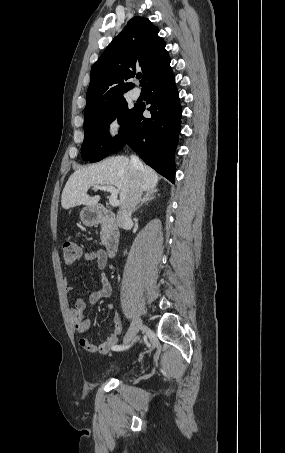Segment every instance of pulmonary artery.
<instances>
[{
  "instance_id": "obj_1",
  "label": "pulmonary artery",
  "mask_w": 285,
  "mask_h": 453,
  "mask_svg": "<svg viewBox=\"0 0 285 453\" xmlns=\"http://www.w3.org/2000/svg\"><path fill=\"white\" fill-rule=\"evenodd\" d=\"M141 95V91L139 88H134L132 91H131V96L133 99H138Z\"/></svg>"
}]
</instances>
